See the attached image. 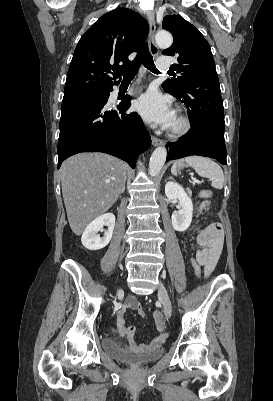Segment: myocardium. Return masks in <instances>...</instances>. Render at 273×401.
<instances>
[{
	"mask_svg": "<svg viewBox=\"0 0 273 401\" xmlns=\"http://www.w3.org/2000/svg\"><path fill=\"white\" fill-rule=\"evenodd\" d=\"M177 125L174 127H170L168 130V134L173 138H182L188 135L192 130V121L186 115L180 113L177 117Z\"/></svg>",
	"mask_w": 273,
	"mask_h": 401,
	"instance_id": "obj_1",
	"label": "myocardium"
}]
</instances>
